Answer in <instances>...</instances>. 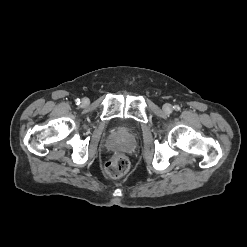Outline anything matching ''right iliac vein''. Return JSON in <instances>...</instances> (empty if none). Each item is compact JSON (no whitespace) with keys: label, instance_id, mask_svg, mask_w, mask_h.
I'll list each match as a JSON object with an SVG mask.
<instances>
[{"label":"right iliac vein","instance_id":"63e3f726","mask_svg":"<svg viewBox=\"0 0 247 247\" xmlns=\"http://www.w3.org/2000/svg\"><path fill=\"white\" fill-rule=\"evenodd\" d=\"M81 104L83 106H87L89 104V99L88 98H83L82 101H81Z\"/></svg>","mask_w":247,"mask_h":247}]
</instances>
